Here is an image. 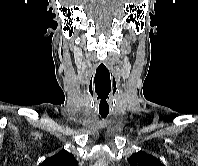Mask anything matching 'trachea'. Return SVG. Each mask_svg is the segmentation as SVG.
<instances>
[{
    "label": "trachea",
    "instance_id": "1",
    "mask_svg": "<svg viewBox=\"0 0 198 166\" xmlns=\"http://www.w3.org/2000/svg\"><path fill=\"white\" fill-rule=\"evenodd\" d=\"M100 115L102 116V118H106L108 113H100Z\"/></svg>",
    "mask_w": 198,
    "mask_h": 166
}]
</instances>
